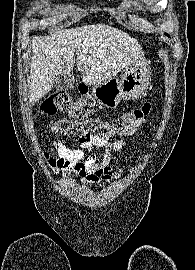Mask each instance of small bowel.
<instances>
[{
  "label": "small bowel",
  "mask_w": 195,
  "mask_h": 270,
  "mask_svg": "<svg viewBox=\"0 0 195 270\" xmlns=\"http://www.w3.org/2000/svg\"><path fill=\"white\" fill-rule=\"evenodd\" d=\"M148 124L146 117L137 119L132 124L118 131L120 139L111 140L108 136L80 135L78 138L79 148L71 149L63 142L54 140L53 145L60 157L58 166L70 173H76L84 183L99 184L103 180H110L114 171L110 166L111 155L119 151L126 144V137L133 135L139 127ZM94 146L104 147L105 154L102 162H97L95 154L92 152ZM84 150L89 152L85 158Z\"/></svg>",
  "instance_id": "1"
}]
</instances>
